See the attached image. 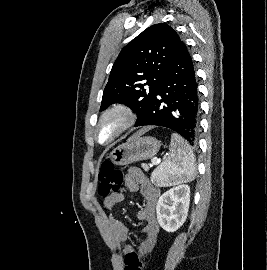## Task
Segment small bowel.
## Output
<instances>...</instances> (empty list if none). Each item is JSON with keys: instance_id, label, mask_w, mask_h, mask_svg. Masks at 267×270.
Segmentation results:
<instances>
[{"instance_id": "small-bowel-1", "label": "small bowel", "mask_w": 267, "mask_h": 270, "mask_svg": "<svg viewBox=\"0 0 267 270\" xmlns=\"http://www.w3.org/2000/svg\"><path fill=\"white\" fill-rule=\"evenodd\" d=\"M124 183L131 192L139 191L145 200L143 208L137 213L139 220L145 222L142 229V241L138 253L140 256L147 255L154 247L159 233V224L156 217V206L160 196V190L149 182L144 173L138 168L131 167L124 176ZM124 201V194L116 192L104 199V207L113 210L116 205ZM109 224L115 241L124 244V254L133 250L128 243L129 229L118 218L109 217Z\"/></svg>"}]
</instances>
